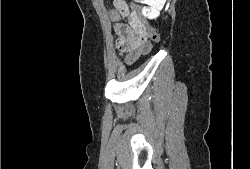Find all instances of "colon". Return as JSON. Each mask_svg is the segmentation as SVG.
<instances>
[{
  "mask_svg": "<svg viewBox=\"0 0 250 169\" xmlns=\"http://www.w3.org/2000/svg\"><path fill=\"white\" fill-rule=\"evenodd\" d=\"M131 8L133 9L134 13L137 15V19L139 23H142V25H147L148 30L142 27H139V31L137 34V37L140 42L144 43L147 41L148 38H151L153 41L156 42V44H161V39H159V35L154 30V26H152V23H148L146 18H143L142 15H144L143 5L141 3H133L134 1H131ZM115 6L120 9L124 13H128V9L125 5V3L121 0H118L115 2ZM124 27H119V31L123 32Z\"/></svg>",
  "mask_w": 250,
  "mask_h": 169,
  "instance_id": "1",
  "label": "colon"
}]
</instances>
